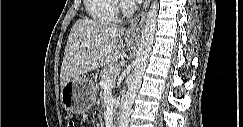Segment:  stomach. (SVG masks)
Here are the masks:
<instances>
[{
    "instance_id": "0dacf381",
    "label": "stomach",
    "mask_w": 243,
    "mask_h": 127,
    "mask_svg": "<svg viewBox=\"0 0 243 127\" xmlns=\"http://www.w3.org/2000/svg\"><path fill=\"white\" fill-rule=\"evenodd\" d=\"M98 87L92 79L81 76L67 82L61 88V102L65 110L72 114H83L96 101Z\"/></svg>"
}]
</instances>
